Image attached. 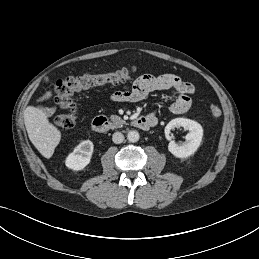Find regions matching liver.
Segmentation results:
<instances>
[{"instance_id": "liver-1", "label": "liver", "mask_w": 259, "mask_h": 259, "mask_svg": "<svg viewBox=\"0 0 259 259\" xmlns=\"http://www.w3.org/2000/svg\"><path fill=\"white\" fill-rule=\"evenodd\" d=\"M24 123L30 141L47 159L52 157L55 148L61 140V132L51 124L46 113L34 106H28L24 111Z\"/></svg>"}]
</instances>
